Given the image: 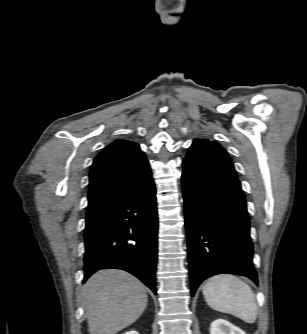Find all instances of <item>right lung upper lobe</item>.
<instances>
[{
    "mask_svg": "<svg viewBox=\"0 0 307 334\" xmlns=\"http://www.w3.org/2000/svg\"><path fill=\"white\" fill-rule=\"evenodd\" d=\"M152 180L139 144L118 139L95 159L89 177L86 217H95Z\"/></svg>",
    "mask_w": 307,
    "mask_h": 334,
    "instance_id": "right-lung-upper-lobe-1",
    "label": "right lung upper lobe"
}]
</instances>
